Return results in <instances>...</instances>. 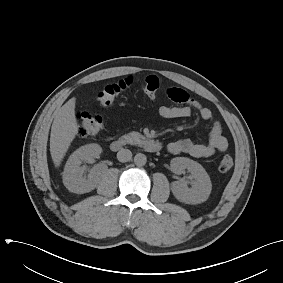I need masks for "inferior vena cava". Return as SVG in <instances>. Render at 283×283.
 I'll return each instance as SVG.
<instances>
[{"label":"inferior vena cava","mask_w":283,"mask_h":283,"mask_svg":"<svg viewBox=\"0 0 283 283\" xmlns=\"http://www.w3.org/2000/svg\"><path fill=\"white\" fill-rule=\"evenodd\" d=\"M117 159L120 162H127L132 159V152L129 149H120L117 153Z\"/></svg>","instance_id":"inferior-vena-cava-1"}]
</instances>
